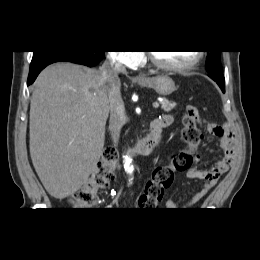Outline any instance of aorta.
<instances>
[{
	"label": "aorta",
	"instance_id": "obj_1",
	"mask_svg": "<svg viewBox=\"0 0 260 260\" xmlns=\"http://www.w3.org/2000/svg\"><path fill=\"white\" fill-rule=\"evenodd\" d=\"M131 163H132V160L130 159V157L125 156L124 157V168H125V171L129 174H131L133 172V165Z\"/></svg>",
	"mask_w": 260,
	"mask_h": 260
}]
</instances>
